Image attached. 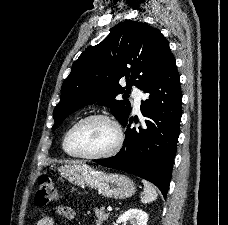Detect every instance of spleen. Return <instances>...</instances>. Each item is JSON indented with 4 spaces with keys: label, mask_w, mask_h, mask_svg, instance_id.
<instances>
[{
    "label": "spleen",
    "mask_w": 228,
    "mask_h": 225,
    "mask_svg": "<svg viewBox=\"0 0 228 225\" xmlns=\"http://www.w3.org/2000/svg\"><path fill=\"white\" fill-rule=\"evenodd\" d=\"M143 185H144V193H143V197H141V203H152V201H156L158 195L154 189V187H152V185H150V183H148V181H142Z\"/></svg>",
    "instance_id": "obj_1"
}]
</instances>
